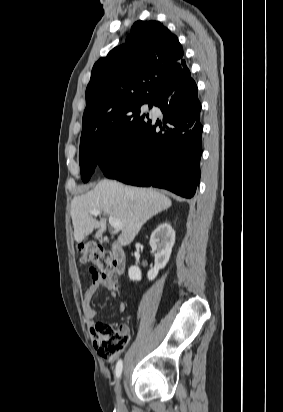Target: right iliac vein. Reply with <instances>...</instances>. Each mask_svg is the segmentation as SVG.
<instances>
[{"label": "right iliac vein", "instance_id": "1", "mask_svg": "<svg viewBox=\"0 0 283 412\" xmlns=\"http://www.w3.org/2000/svg\"><path fill=\"white\" fill-rule=\"evenodd\" d=\"M116 399H117V405L119 408H123V400L121 398V385L120 383L118 384L116 388Z\"/></svg>", "mask_w": 283, "mask_h": 412}]
</instances>
